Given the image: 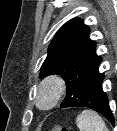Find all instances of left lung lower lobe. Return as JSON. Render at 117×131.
I'll use <instances>...</instances> for the list:
<instances>
[{
    "label": "left lung lower lobe",
    "instance_id": "1",
    "mask_svg": "<svg viewBox=\"0 0 117 131\" xmlns=\"http://www.w3.org/2000/svg\"><path fill=\"white\" fill-rule=\"evenodd\" d=\"M98 68L99 66L84 86L69 89L66 95L70 96L71 99L67 107L81 106L91 108L103 115L114 125L115 121L109 107L108 98L102 89L104 75L99 73Z\"/></svg>",
    "mask_w": 117,
    "mask_h": 131
}]
</instances>
